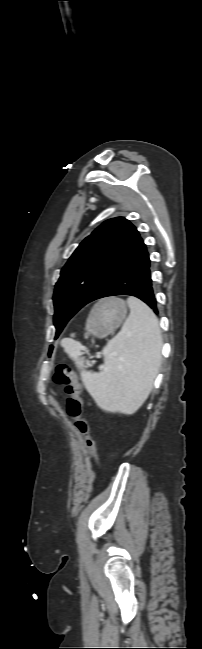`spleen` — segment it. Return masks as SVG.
Instances as JSON below:
<instances>
[{
  "label": "spleen",
  "instance_id": "obj_1",
  "mask_svg": "<svg viewBox=\"0 0 202 649\" xmlns=\"http://www.w3.org/2000/svg\"><path fill=\"white\" fill-rule=\"evenodd\" d=\"M127 303L130 314L121 331L104 348L105 362L100 372L85 370L80 342L65 338L61 345L100 408L132 414L149 396L161 360L162 336L157 317L143 301L130 297Z\"/></svg>",
  "mask_w": 202,
  "mask_h": 649
}]
</instances>
